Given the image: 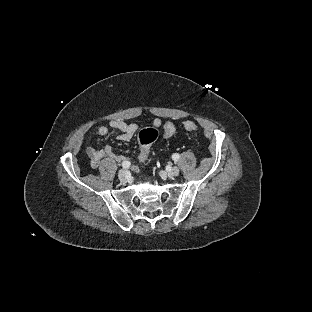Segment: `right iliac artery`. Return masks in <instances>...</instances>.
I'll list each match as a JSON object with an SVG mask.
<instances>
[{"mask_svg":"<svg viewBox=\"0 0 312 312\" xmlns=\"http://www.w3.org/2000/svg\"><path fill=\"white\" fill-rule=\"evenodd\" d=\"M122 167H123L124 169H128V168L130 167V162H129V161H124V162L122 163Z\"/></svg>","mask_w":312,"mask_h":312,"instance_id":"82829eb1","label":"right iliac artery"}]
</instances>
